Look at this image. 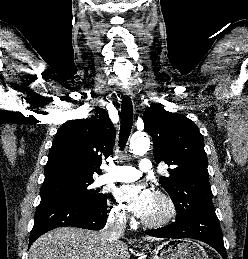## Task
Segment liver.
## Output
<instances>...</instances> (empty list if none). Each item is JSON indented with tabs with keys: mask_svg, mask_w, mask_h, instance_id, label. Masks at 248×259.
Wrapping results in <instances>:
<instances>
[{
	"mask_svg": "<svg viewBox=\"0 0 248 259\" xmlns=\"http://www.w3.org/2000/svg\"><path fill=\"white\" fill-rule=\"evenodd\" d=\"M148 241L158 240L147 236ZM126 243H109L102 231L75 227L56 228L38 238L29 250V259H129Z\"/></svg>",
	"mask_w": 248,
	"mask_h": 259,
	"instance_id": "liver-1",
	"label": "liver"
}]
</instances>
